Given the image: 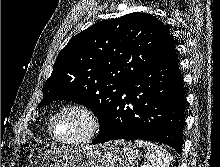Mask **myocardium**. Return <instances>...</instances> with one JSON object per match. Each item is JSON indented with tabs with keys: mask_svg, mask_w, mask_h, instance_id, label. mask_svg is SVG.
Returning <instances> with one entry per match:
<instances>
[{
	"mask_svg": "<svg viewBox=\"0 0 220 167\" xmlns=\"http://www.w3.org/2000/svg\"><path fill=\"white\" fill-rule=\"evenodd\" d=\"M76 111L81 113L87 121V128L85 132L77 137L71 139H62L55 135L54 125L59 116L65 112ZM102 123L98 114L89 106L82 103H69L58 109L52 116L48 132L51 138L62 145H79L92 141L100 132Z\"/></svg>",
	"mask_w": 220,
	"mask_h": 167,
	"instance_id": "obj_1",
	"label": "myocardium"
}]
</instances>
